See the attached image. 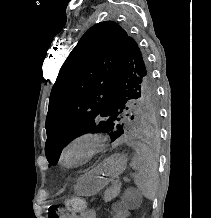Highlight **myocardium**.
I'll use <instances>...</instances> for the list:
<instances>
[{
    "label": "myocardium",
    "instance_id": "1",
    "mask_svg": "<svg viewBox=\"0 0 211 218\" xmlns=\"http://www.w3.org/2000/svg\"><path fill=\"white\" fill-rule=\"evenodd\" d=\"M105 136L98 130H85L72 137L63 147L60 161L66 166L83 164L93 158L104 146ZM75 150H82L81 157L72 159Z\"/></svg>",
    "mask_w": 211,
    "mask_h": 218
}]
</instances>
